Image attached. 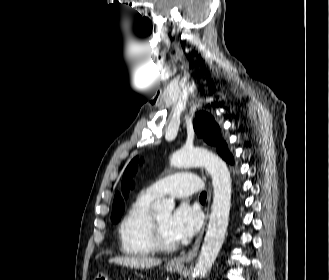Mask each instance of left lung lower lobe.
Here are the masks:
<instances>
[{
    "instance_id": "left-lung-lower-lobe-1",
    "label": "left lung lower lobe",
    "mask_w": 329,
    "mask_h": 280,
    "mask_svg": "<svg viewBox=\"0 0 329 280\" xmlns=\"http://www.w3.org/2000/svg\"><path fill=\"white\" fill-rule=\"evenodd\" d=\"M232 162H233V159H231L230 163H232Z\"/></svg>"
}]
</instances>
